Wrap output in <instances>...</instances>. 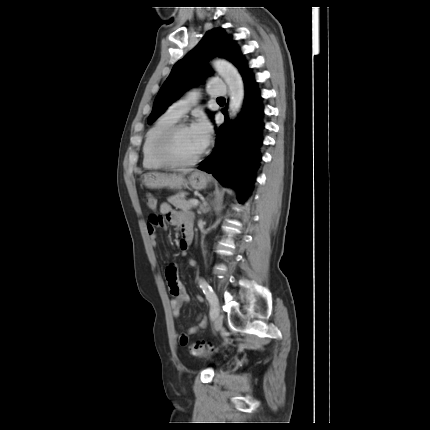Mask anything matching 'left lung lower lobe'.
I'll return each mask as SVG.
<instances>
[{
	"label": "left lung lower lobe",
	"mask_w": 430,
	"mask_h": 430,
	"mask_svg": "<svg viewBox=\"0 0 430 430\" xmlns=\"http://www.w3.org/2000/svg\"><path fill=\"white\" fill-rule=\"evenodd\" d=\"M242 77L245 86L242 111L234 122L227 121L219 127L215 150L199 167L213 174L223 185L234 187L240 203L247 199L254 183V173L260 159L258 148L262 142L260 131L263 128V107L255 79L247 71ZM222 112L226 114V108Z\"/></svg>",
	"instance_id": "obj_1"
}]
</instances>
